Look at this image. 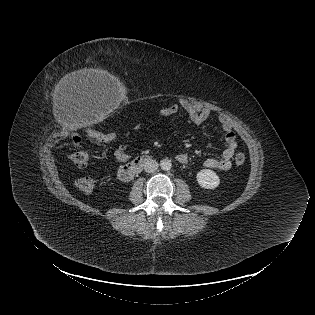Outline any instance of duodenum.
<instances>
[{"label":"duodenum","mask_w":315,"mask_h":315,"mask_svg":"<svg viewBox=\"0 0 315 315\" xmlns=\"http://www.w3.org/2000/svg\"><path fill=\"white\" fill-rule=\"evenodd\" d=\"M148 156H140L133 161L123 165L119 171L118 176L120 180L124 182L130 181L135 175H137L143 168V166L149 161Z\"/></svg>","instance_id":"obj_1"}]
</instances>
